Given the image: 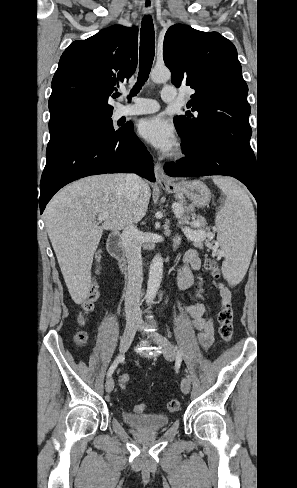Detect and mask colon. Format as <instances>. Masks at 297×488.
<instances>
[{
    "label": "colon",
    "mask_w": 297,
    "mask_h": 488,
    "mask_svg": "<svg viewBox=\"0 0 297 488\" xmlns=\"http://www.w3.org/2000/svg\"><path fill=\"white\" fill-rule=\"evenodd\" d=\"M101 255H98V260H100ZM204 267L205 269L211 274L212 277L218 278L219 277V266L217 261L209 256L206 255L204 259ZM98 298V285L93 283L88 296L86 297L84 303L82 304V311L79 315V321L82 324L84 322L85 316H87L94 308L95 302ZM218 324H219V336L224 343H229L233 337L234 328H233V312L231 308L230 302L222 303L221 309L218 314ZM87 336L84 332L80 331L76 334L75 340L76 343L79 345H83L86 342ZM130 377L127 372H124L119 376V387L120 391L124 392L125 388L129 385ZM145 404H138L135 406L134 411L137 413H141L145 410ZM180 408V401L178 399H172L167 404V409L170 412H176Z\"/></svg>",
    "instance_id": "obj_1"
}]
</instances>
